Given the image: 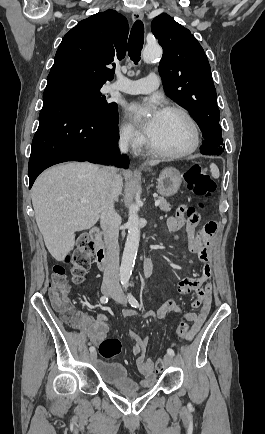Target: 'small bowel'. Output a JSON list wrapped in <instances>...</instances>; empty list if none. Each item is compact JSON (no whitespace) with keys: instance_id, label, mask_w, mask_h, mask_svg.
<instances>
[{"instance_id":"1","label":"small bowel","mask_w":265,"mask_h":434,"mask_svg":"<svg viewBox=\"0 0 265 434\" xmlns=\"http://www.w3.org/2000/svg\"><path fill=\"white\" fill-rule=\"evenodd\" d=\"M184 211V206L179 207L175 215L168 218L167 227L170 232H176L185 226L189 239V251L195 254L203 263L197 276L184 277L177 285V290L181 293L196 292V299L192 302V307L199 311L183 313L182 308L176 303L175 299L171 297L162 304L158 311L150 310V316L152 318L154 317L157 321H164L169 314H181L184 320L191 323L188 327L190 330L188 340H191L201 329L211 310L212 285L209 283V279L212 275V269L210 265L209 246L214 233L205 238L200 236V232L196 234L195 227L198 223V217L186 221ZM139 313L138 315L134 310H130L129 306H126L123 316H128V318H137L138 316L140 318H147L149 311L141 310ZM107 321V316L104 314H98L93 318L85 312L77 311L72 325L84 332L91 343L98 344L108 333ZM130 338L134 342V352L139 354L137 357V366L145 377L143 385H151L157 378L154 373L153 361L146 358L149 339H139L134 335H130Z\"/></svg>"}]
</instances>
